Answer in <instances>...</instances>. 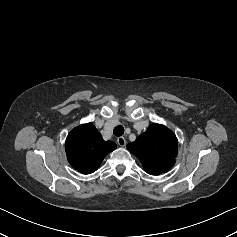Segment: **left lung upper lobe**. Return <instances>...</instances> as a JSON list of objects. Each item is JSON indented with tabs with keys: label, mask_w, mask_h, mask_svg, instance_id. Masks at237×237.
Instances as JSON below:
<instances>
[{
	"label": "left lung upper lobe",
	"mask_w": 237,
	"mask_h": 237,
	"mask_svg": "<svg viewBox=\"0 0 237 237\" xmlns=\"http://www.w3.org/2000/svg\"><path fill=\"white\" fill-rule=\"evenodd\" d=\"M151 175L167 172L175 163L178 140L175 134L161 124H151L134 142L127 145Z\"/></svg>",
	"instance_id": "5c2ea615"
}]
</instances>
